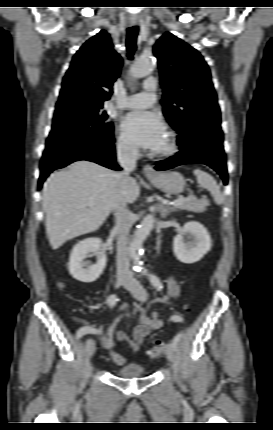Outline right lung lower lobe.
<instances>
[{"mask_svg":"<svg viewBox=\"0 0 273 430\" xmlns=\"http://www.w3.org/2000/svg\"><path fill=\"white\" fill-rule=\"evenodd\" d=\"M113 143L114 139L107 144L88 143L43 155L40 166L41 174L38 181L39 188L53 170L65 167L78 160H88L110 169H120L115 163Z\"/></svg>","mask_w":273,"mask_h":430,"instance_id":"obj_1","label":"right lung lower lobe"}]
</instances>
